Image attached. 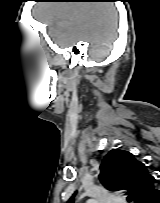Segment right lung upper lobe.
I'll return each instance as SVG.
<instances>
[{"label":"right lung upper lobe","mask_w":160,"mask_h":203,"mask_svg":"<svg viewBox=\"0 0 160 203\" xmlns=\"http://www.w3.org/2000/svg\"><path fill=\"white\" fill-rule=\"evenodd\" d=\"M100 168L101 183L112 191H126L133 203H145L158 191L157 180L150 175L148 166L125 150L112 149ZM68 203H73V197Z\"/></svg>","instance_id":"1"}]
</instances>
